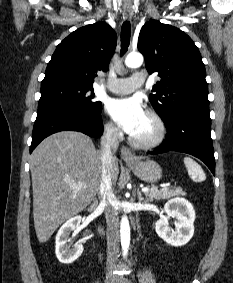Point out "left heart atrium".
Segmentation results:
<instances>
[{"mask_svg": "<svg viewBox=\"0 0 233 283\" xmlns=\"http://www.w3.org/2000/svg\"><path fill=\"white\" fill-rule=\"evenodd\" d=\"M106 109L112 119L130 135L146 114L142 102L136 97L111 99Z\"/></svg>", "mask_w": 233, "mask_h": 283, "instance_id": "left-heart-atrium-1", "label": "left heart atrium"}]
</instances>
